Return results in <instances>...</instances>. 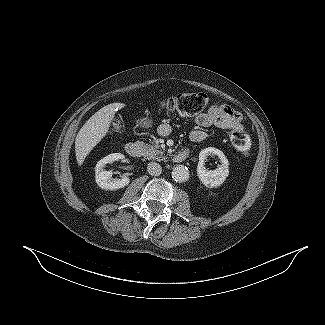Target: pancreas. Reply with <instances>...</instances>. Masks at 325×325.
I'll return each instance as SVG.
<instances>
[{
	"label": "pancreas",
	"mask_w": 325,
	"mask_h": 325,
	"mask_svg": "<svg viewBox=\"0 0 325 325\" xmlns=\"http://www.w3.org/2000/svg\"><path fill=\"white\" fill-rule=\"evenodd\" d=\"M143 156L147 159L157 161H163L167 158L164 152L160 150V146L157 143L145 144L143 146Z\"/></svg>",
	"instance_id": "cf45deb5"
}]
</instances>
